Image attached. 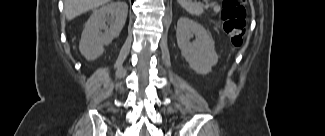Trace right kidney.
I'll return each instance as SVG.
<instances>
[{
	"label": "right kidney",
	"mask_w": 325,
	"mask_h": 136,
	"mask_svg": "<svg viewBox=\"0 0 325 136\" xmlns=\"http://www.w3.org/2000/svg\"><path fill=\"white\" fill-rule=\"evenodd\" d=\"M127 12V4L117 0L92 13L85 24L79 43V50L87 60L97 59L103 54L104 45L119 36L126 22Z\"/></svg>",
	"instance_id": "right-kidney-1"
}]
</instances>
